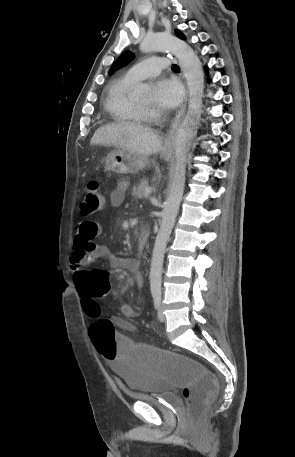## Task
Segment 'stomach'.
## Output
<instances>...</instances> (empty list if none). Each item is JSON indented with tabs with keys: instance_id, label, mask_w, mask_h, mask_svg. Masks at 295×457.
Segmentation results:
<instances>
[{
	"instance_id": "stomach-1",
	"label": "stomach",
	"mask_w": 295,
	"mask_h": 457,
	"mask_svg": "<svg viewBox=\"0 0 295 457\" xmlns=\"http://www.w3.org/2000/svg\"><path fill=\"white\" fill-rule=\"evenodd\" d=\"M166 161L170 155L163 153L161 155ZM148 163L144 156H138L124 149H115L107 153L105 157V168L118 174H134L142 170Z\"/></svg>"
}]
</instances>
